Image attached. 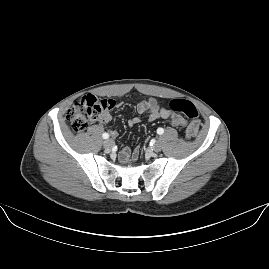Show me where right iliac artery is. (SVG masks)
<instances>
[{"instance_id": "82829eb1", "label": "right iliac artery", "mask_w": 269, "mask_h": 269, "mask_svg": "<svg viewBox=\"0 0 269 269\" xmlns=\"http://www.w3.org/2000/svg\"><path fill=\"white\" fill-rule=\"evenodd\" d=\"M102 137H103L104 139H108V138H109V134H108V133H103Z\"/></svg>"}]
</instances>
